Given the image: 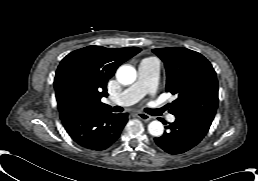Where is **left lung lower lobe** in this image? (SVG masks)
Here are the masks:
<instances>
[{"mask_svg":"<svg viewBox=\"0 0 258 181\" xmlns=\"http://www.w3.org/2000/svg\"><path fill=\"white\" fill-rule=\"evenodd\" d=\"M167 132L155 138L156 145L169 154L184 153L196 146L208 132L211 118L198 115H175ZM162 120V119H160ZM165 124V122L162 120Z\"/></svg>","mask_w":258,"mask_h":181,"instance_id":"obj_1","label":"left lung lower lobe"}]
</instances>
